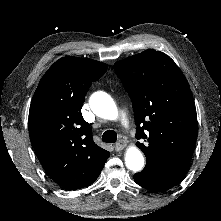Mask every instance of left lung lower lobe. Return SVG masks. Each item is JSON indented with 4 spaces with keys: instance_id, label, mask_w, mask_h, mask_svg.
<instances>
[{
    "instance_id": "0a47b994",
    "label": "left lung lower lobe",
    "mask_w": 221,
    "mask_h": 221,
    "mask_svg": "<svg viewBox=\"0 0 221 221\" xmlns=\"http://www.w3.org/2000/svg\"><path fill=\"white\" fill-rule=\"evenodd\" d=\"M184 175L185 173L150 170L136 173L134 180L138 185L146 189L161 192L176 186Z\"/></svg>"
}]
</instances>
